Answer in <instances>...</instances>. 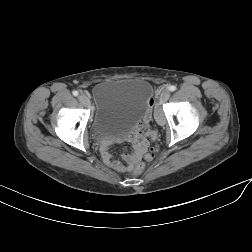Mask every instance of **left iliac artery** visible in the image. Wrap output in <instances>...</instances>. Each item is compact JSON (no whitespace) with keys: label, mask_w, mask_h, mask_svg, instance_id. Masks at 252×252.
Segmentation results:
<instances>
[{"label":"left iliac artery","mask_w":252,"mask_h":252,"mask_svg":"<svg viewBox=\"0 0 252 252\" xmlns=\"http://www.w3.org/2000/svg\"><path fill=\"white\" fill-rule=\"evenodd\" d=\"M175 90H176V86L174 85L169 86V91L173 92Z\"/></svg>","instance_id":"44dca946"}]
</instances>
